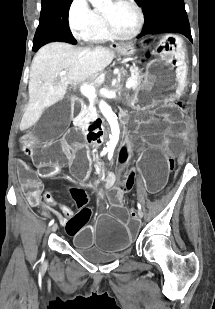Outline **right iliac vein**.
I'll return each mask as SVG.
<instances>
[{
  "label": "right iliac vein",
  "instance_id": "63e3f726",
  "mask_svg": "<svg viewBox=\"0 0 215 309\" xmlns=\"http://www.w3.org/2000/svg\"><path fill=\"white\" fill-rule=\"evenodd\" d=\"M57 228H58V225L55 223L52 225L51 230L55 232Z\"/></svg>",
  "mask_w": 215,
  "mask_h": 309
}]
</instances>
